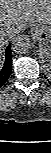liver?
Listing matches in <instances>:
<instances>
[{
    "mask_svg": "<svg viewBox=\"0 0 51 153\" xmlns=\"http://www.w3.org/2000/svg\"><path fill=\"white\" fill-rule=\"evenodd\" d=\"M51 23V0H0V51L29 24Z\"/></svg>",
    "mask_w": 51,
    "mask_h": 153,
    "instance_id": "1",
    "label": "liver"
}]
</instances>
